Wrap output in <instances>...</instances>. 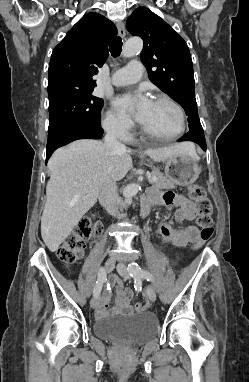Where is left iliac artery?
<instances>
[{"mask_svg": "<svg viewBox=\"0 0 249 382\" xmlns=\"http://www.w3.org/2000/svg\"><path fill=\"white\" fill-rule=\"evenodd\" d=\"M127 270L129 274L135 279V282L139 281L141 278H144L149 282L154 281L153 275L147 270L142 269L136 262L129 263Z\"/></svg>", "mask_w": 249, "mask_h": 382, "instance_id": "obj_1", "label": "left iliac artery"}]
</instances>
